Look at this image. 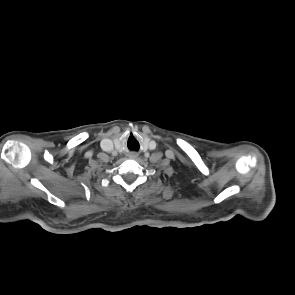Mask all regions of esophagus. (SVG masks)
Here are the masks:
<instances>
[{
    "label": "esophagus",
    "mask_w": 295,
    "mask_h": 295,
    "mask_svg": "<svg viewBox=\"0 0 295 295\" xmlns=\"http://www.w3.org/2000/svg\"><path fill=\"white\" fill-rule=\"evenodd\" d=\"M137 156H138L137 153H130V154H129V157L132 158V159L137 158Z\"/></svg>",
    "instance_id": "34e87169"
}]
</instances>
